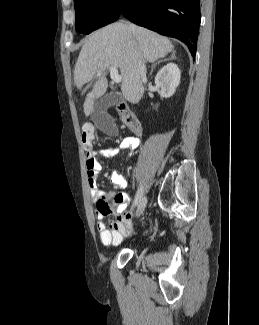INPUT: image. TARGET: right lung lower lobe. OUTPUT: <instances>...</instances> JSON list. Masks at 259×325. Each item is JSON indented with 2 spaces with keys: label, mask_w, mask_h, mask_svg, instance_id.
Listing matches in <instances>:
<instances>
[{
  "label": "right lung lower lobe",
  "mask_w": 259,
  "mask_h": 325,
  "mask_svg": "<svg viewBox=\"0 0 259 325\" xmlns=\"http://www.w3.org/2000/svg\"><path fill=\"white\" fill-rule=\"evenodd\" d=\"M122 15L137 25L181 40L195 56L200 0H126Z\"/></svg>",
  "instance_id": "right-lung-lower-lobe-1"
}]
</instances>
